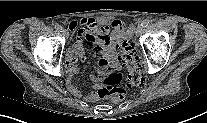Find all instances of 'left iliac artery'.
<instances>
[{"label": "left iliac artery", "instance_id": "left-iliac-artery-1", "mask_svg": "<svg viewBox=\"0 0 207 123\" xmlns=\"http://www.w3.org/2000/svg\"><path fill=\"white\" fill-rule=\"evenodd\" d=\"M149 22H150L149 19H145V20L142 22L141 25H142L143 27H146V26H148Z\"/></svg>", "mask_w": 207, "mask_h": 123}]
</instances>
